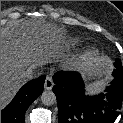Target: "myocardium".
Listing matches in <instances>:
<instances>
[{
  "label": "myocardium",
  "mask_w": 123,
  "mask_h": 123,
  "mask_svg": "<svg viewBox=\"0 0 123 123\" xmlns=\"http://www.w3.org/2000/svg\"><path fill=\"white\" fill-rule=\"evenodd\" d=\"M97 55V52L95 50L88 51L85 55H83L77 62L76 66H84L88 64L90 61H92Z\"/></svg>",
  "instance_id": "obj_1"
}]
</instances>
